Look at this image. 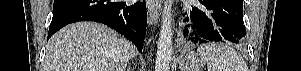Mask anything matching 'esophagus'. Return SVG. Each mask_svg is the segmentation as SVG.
<instances>
[{
    "label": "esophagus",
    "mask_w": 301,
    "mask_h": 71,
    "mask_svg": "<svg viewBox=\"0 0 301 71\" xmlns=\"http://www.w3.org/2000/svg\"><path fill=\"white\" fill-rule=\"evenodd\" d=\"M161 0H147V9L149 14L150 23H155L159 19L161 9Z\"/></svg>",
    "instance_id": "obj_1"
}]
</instances>
